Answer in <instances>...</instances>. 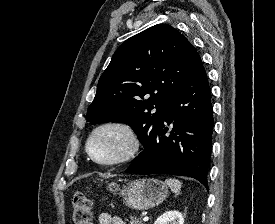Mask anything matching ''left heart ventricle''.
I'll use <instances>...</instances> for the list:
<instances>
[{
    "label": "left heart ventricle",
    "instance_id": "obj_1",
    "mask_svg": "<svg viewBox=\"0 0 275 224\" xmlns=\"http://www.w3.org/2000/svg\"><path fill=\"white\" fill-rule=\"evenodd\" d=\"M127 148V140L122 132L107 129L98 133L91 141L90 150L99 160L108 161L120 157Z\"/></svg>",
    "mask_w": 275,
    "mask_h": 224
}]
</instances>
